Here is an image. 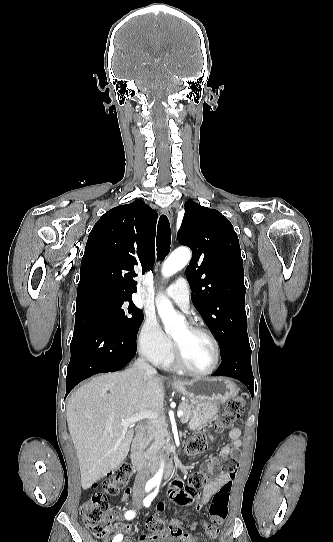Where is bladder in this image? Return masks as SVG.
Masks as SVG:
<instances>
[{
    "label": "bladder",
    "mask_w": 333,
    "mask_h": 542,
    "mask_svg": "<svg viewBox=\"0 0 333 542\" xmlns=\"http://www.w3.org/2000/svg\"><path fill=\"white\" fill-rule=\"evenodd\" d=\"M150 542H179L177 538L173 537L172 535H160L151 540Z\"/></svg>",
    "instance_id": "bladder-1"
}]
</instances>
